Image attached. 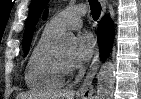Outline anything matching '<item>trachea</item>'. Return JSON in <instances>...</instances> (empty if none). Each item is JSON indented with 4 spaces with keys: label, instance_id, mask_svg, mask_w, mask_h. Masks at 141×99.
<instances>
[{
    "label": "trachea",
    "instance_id": "obj_1",
    "mask_svg": "<svg viewBox=\"0 0 141 99\" xmlns=\"http://www.w3.org/2000/svg\"><path fill=\"white\" fill-rule=\"evenodd\" d=\"M91 15L94 20H97L101 13V5L97 0H89Z\"/></svg>",
    "mask_w": 141,
    "mask_h": 99
}]
</instances>
